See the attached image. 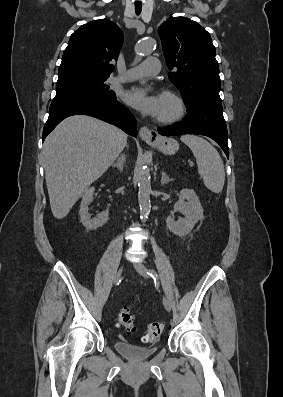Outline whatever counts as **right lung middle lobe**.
<instances>
[{"label": "right lung middle lobe", "mask_w": 283, "mask_h": 397, "mask_svg": "<svg viewBox=\"0 0 283 397\" xmlns=\"http://www.w3.org/2000/svg\"><path fill=\"white\" fill-rule=\"evenodd\" d=\"M108 76L73 75L58 79L56 96L68 93H88L109 99H115V93L104 82Z\"/></svg>", "instance_id": "dd1d6c3e"}]
</instances>
